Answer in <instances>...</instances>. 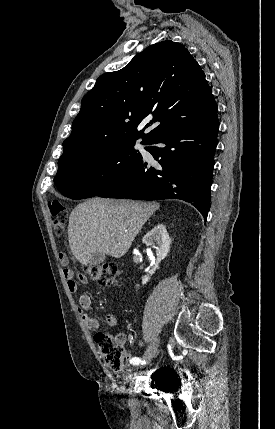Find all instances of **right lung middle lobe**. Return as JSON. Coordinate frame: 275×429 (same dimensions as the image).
Here are the masks:
<instances>
[{
  "mask_svg": "<svg viewBox=\"0 0 275 429\" xmlns=\"http://www.w3.org/2000/svg\"><path fill=\"white\" fill-rule=\"evenodd\" d=\"M134 145L135 142H120L70 160L59 166L54 183L71 199L97 196L142 160Z\"/></svg>",
  "mask_w": 275,
  "mask_h": 429,
  "instance_id": "right-lung-middle-lobe-1",
  "label": "right lung middle lobe"
}]
</instances>
